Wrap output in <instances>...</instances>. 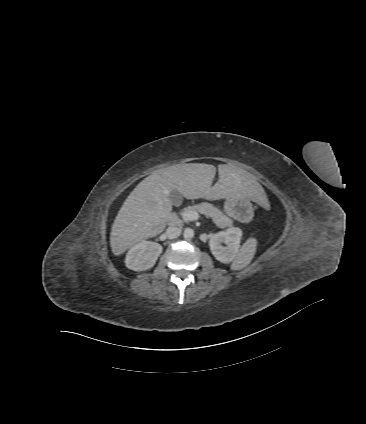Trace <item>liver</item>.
<instances>
[{
	"mask_svg": "<svg viewBox=\"0 0 366 424\" xmlns=\"http://www.w3.org/2000/svg\"><path fill=\"white\" fill-rule=\"evenodd\" d=\"M219 180L212 186L216 168L203 163L177 164L154 171L130 193L120 208L110 233L116 256L138 242L160 234L172 211L170 193L177 190L186 199L219 200L238 197L259 202L261 185L249 172L231 164L218 166Z\"/></svg>",
	"mask_w": 366,
	"mask_h": 424,
	"instance_id": "liver-1",
	"label": "liver"
}]
</instances>
